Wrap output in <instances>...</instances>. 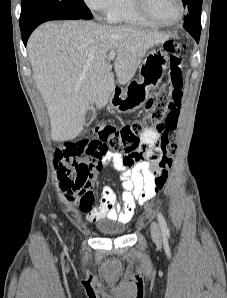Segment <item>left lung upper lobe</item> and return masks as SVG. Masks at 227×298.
<instances>
[{"label":"left lung upper lobe","instance_id":"5c2ea615","mask_svg":"<svg viewBox=\"0 0 227 298\" xmlns=\"http://www.w3.org/2000/svg\"><path fill=\"white\" fill-rule=\"evenodd\" d=\"M203 0H182L188 15L184 18L183 27L193 38L200 37L201 33V8Z\"/></svg>","mask_w":227,"mask_h":298}]
</instances>
